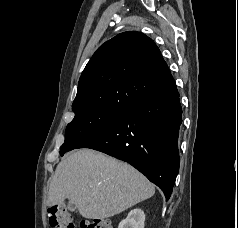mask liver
I'll return each mask as SVG.
<instances>
[{
  "mask_svg": "<svg viewBox=\"0 0 238 228\" xmlns=\"http://www.w3.org/2000/svg\"><path fill=\"white\" fill-rule=\"evenodd\" d=\"M154 186L127 163L90 149L71 153L57 166L48 206L65 199L87 219H105L152 197Z\"/></svg>",
  "mask_w": 238,
  "mask_h": 228,
  "instance_id": "obj_1",
  "label": "liver"
}]
</instances>
